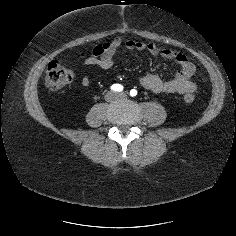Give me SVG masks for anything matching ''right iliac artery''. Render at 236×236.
<instances>
[{
	"mask_svg": "<svg viewBox=\"0 0 236 236\" xmlns=\"http://www.w3.org/2000/svg\"><path fill=\"white\" fill-rule=\"evenodd\" d=\"M111 90L115 92H121L123 90V86L120 84H114L111 86Z\"/></svg>",
	"mask_w": 236,
	"mask_h": 236,
	"instance_id": "82829eb1",
	"label": "right iliac artery"
}]
</instances>
